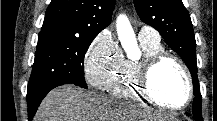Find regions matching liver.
<instances>
[{"mask_svg":"<svg viewBox=\"0 0 217 121\" xmlns=\"http://www.w3.org/2000/svg\"><path fill=\"white\" fill-rule=\"evenodd\" d=\"M166 113L148 115L125 101L85 91L74 85L53 89L40 104L34 121H166Z\"/></svg>","mask_w":217,"mask_h":121,"instance_id":"1","label":"liver"}]
</instances>
